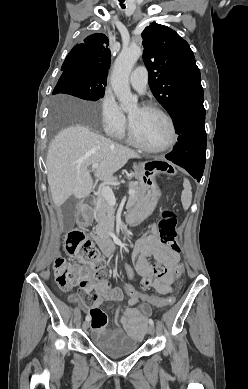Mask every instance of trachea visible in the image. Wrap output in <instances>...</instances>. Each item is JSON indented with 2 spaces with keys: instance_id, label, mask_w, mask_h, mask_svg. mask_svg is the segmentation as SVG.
<instances>
[{
  "instance_id": "3493384b",
  "label": "trachea",
  "mask_w": 248,
  "mask_h": 389,
  "mask_svg": "<svg viewBox=\"0 0 248 389\" xmlns=\"http://www.w3.org/2000/svg\"><path fill=\"white\" fill-rule=\"evenodd\" d=\"M120 2H121V6H122V8H124V5L122 4V2H124V0H120Z\"/></svg>"
}]
</instances>
